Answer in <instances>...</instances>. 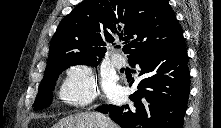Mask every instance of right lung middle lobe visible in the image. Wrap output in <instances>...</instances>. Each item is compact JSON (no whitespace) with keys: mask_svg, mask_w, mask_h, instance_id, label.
Masks as SVG:
<instances>
[{"mask_svg":"<svg viewBox=\"0 0 221 128\" xmlns=\"http://www.w3.org/2000/svg\"><path fill=\"white\" fill-rule=\"evenodd\" d=\"M101 59H71L57 64L48 65L45 70L44 78L39 86L37 98L33 104L34 110L47 108L51 104L52 91L58 76L67 68L77 64H85L89 66H96Z\"/></svg>","mask_w":221,"mask_h":128,"instance_id":"1","label":"right lung middle lobe"}]
</instances>
